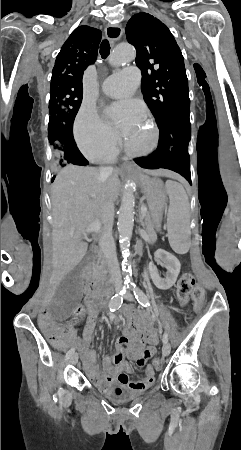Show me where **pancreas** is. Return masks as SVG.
<instances>
[{"label": "pancreas", "instance_id": "cf45deb5", "mask_svg": "<svg viewBox=\"0 0 241 450\" xmlns=\"http://www.w3.org/2000/svg\"><path fill=\"white\" fill-rule=\"evenodd\" d=\"M143 224H144V228H148V226H151L150 216H147L146 218H144ZM147 230H148L149 232H152V231H153V228H152V227H149ZM147 242H148L149 244H154V243L156 242V237H155L154 235H151V234H150V235L147 237ZM102 264H103V262H102ZM97 276H98V282H99V284H102V286H104V284H105V282H106V278H107V276H106V270H105V268H104V264H103V266H99L98 272H97V270H95V268H93V278H94V280H96Z\"/></svg>", "mask_w": 241, "mask_h": 450}]
</instances>
